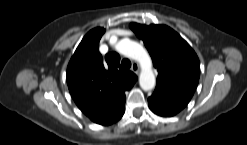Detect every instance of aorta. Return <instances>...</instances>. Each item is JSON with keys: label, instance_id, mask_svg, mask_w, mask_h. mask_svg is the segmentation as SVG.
Instances as JSON below:
<instances>
[{"label": "aorta", "instance_id": "obj_1", "mask_svg": "<svg viewBox=\"0 0 247 145\" xmlns=\"http://www.w3.org/2000/svg\"><path fill=\"white\" fill-rule=\"evenodd\" d=\"M118 52L126 57L138 61L141 65V73L139 76L140 87L144 91H149L155 87V76L152 71V62L148 52L137 42L124 39L117 45Z\"/></svg>", "mask_w": 247, "mask_h": 145}]
</instances>
